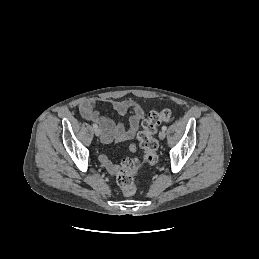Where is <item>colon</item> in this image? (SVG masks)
<instances>
[{
	"label": "colon",
	"instance_id": "colon-1",
	"mask_svg": "<svg viewBox=\"0 0 259 259\" xmlns=\"http://www.w3.org/2000/svg\"><path fill=\"white\" fill-rule=\"evenodd\" d=\"M172 113L169 109L151 111L142 122V130L138 134V140L143 149L142 159L127 158L117 167L116 182L125 196H131L136 192L135 177L144 165H155L158 162V142L155 133L161 123L169 122Z\"/></svg>",
	"mask_w": 259,
	"mask_h": 259
}]
</instances>
